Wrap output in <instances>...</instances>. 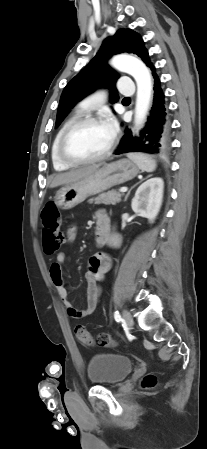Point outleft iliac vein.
Listing matches in <instances>:
<instances>
[{
  "label": "left iliac vein",
  "mask_w": 207,
  "mask_h": 449,
  "mask_svg": "<svg viewBox=\"0 0 207 449\" xmlns=\"http://www.w3.org/2000/svg\"><path fill=\"white\" fill-rule=\"evenodd\" d=\"M123 319H124L125 323H126L129 327H132V326H133V324H134L133 318H132L131 314H130L127 310H124V311H123Z\"/></svg>",
  "instance_id": "left-iliac-vein-1"
}]
</instances>
